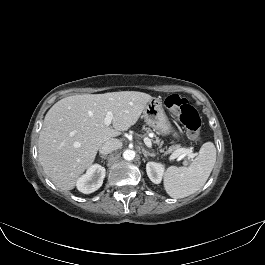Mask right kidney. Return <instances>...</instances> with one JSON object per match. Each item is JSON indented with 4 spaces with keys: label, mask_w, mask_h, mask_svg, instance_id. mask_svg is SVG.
Masks as SVG:
<instances>
[{
    "label": "right kidney",
    "mask_w": 265,
    "mask_h": 265,
    "mask_svg": "<svg viewBox=\"0 0 265 265\" xmlns=\"http://www.w3.org/2000/svg\"><path fill=\"white\" fill-rule=\"evenodd\" d=\"M106 175V170L99 164L92 165L88 168L87 172L78 179L76 186L77 189L84 193L89 194L98 190Z\"/></svg>",
    "instance_id": "ca27d5eb"
}]
</instances>
